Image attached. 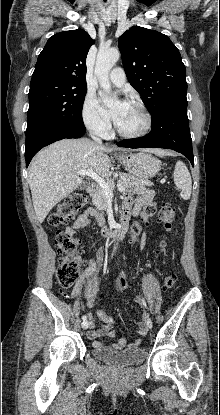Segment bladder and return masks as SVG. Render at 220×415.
Here are the masks:
<instances>
[{
	"instance_id": "1",
	"label": "bladder",
	"mask_w": 220,
	"mask_h": 415,
	"mask_svg": "<svg viewBox=\"0 0 220 415\" xmlns=\"http://www.w3.org/2000/svg\"><path fill=\"white\" fill-rule=\"evenodd\" d=\"M92 354L98 360L114 366H132L140 364L147 356L144 348L115 351L107 347L93 346Z\"/></svg>"
}]
</instances>
